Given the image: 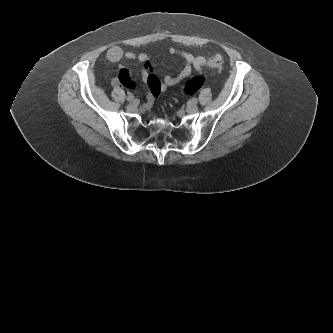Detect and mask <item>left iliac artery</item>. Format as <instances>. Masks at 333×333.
<instances>
[{
	"mask_svg": "<svg viewBox=\"0 0 333 333\" xmlns=\"http://www.w3.org/2000/svg\"><path fill=\"white\" fill-rule=\"evenodd\" d=\"M197 102H198V99H197V98H193V99H192V103H195V104H196Z\"/></svg>",
	"mask_w": 333,
	"mask_h": 333,
	"instance_id": "44dca946",
	"label": "left iliac artery"
}]
</instances>
